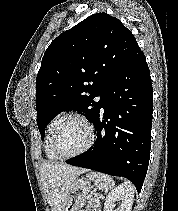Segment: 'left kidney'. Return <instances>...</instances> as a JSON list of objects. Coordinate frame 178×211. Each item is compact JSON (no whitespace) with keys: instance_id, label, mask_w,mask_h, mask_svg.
I'll return each mask as SVG.
<instances>
[{"instance_id":"5707ae66","label":"left kidney","mask_w":178,"mask_h":211,"mask_svg":"<svg viewBox=\"0 0 178 211\" xmlns=\"http://www.w3.org/2000/svg\"><path fill=\"white\" fill-rule=\"evenodd\" d=\"M119 198L122 200L119 211H131L134 199V187L130 182H124L107 195L104 203V211H114V204Z\"/></svg>"}]
</instances>
